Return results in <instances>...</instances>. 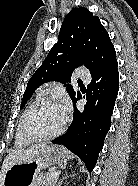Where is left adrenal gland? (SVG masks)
I'll list each match as a JSON object with an SVG mask.
<instances>
[{
	"label": "left adrenal gland",
	"mask_w": 138,
	"mask_h": 186,
	"mask_svg": "<svg viewBox=\"0 0 138 186\" xmlns=\"http://www.w3.org/2000/svg\"><path fill=\"white\" fill-rule=\"evenodd\" d=\"M69 176H72V175H68V173H67V172H66L65 174H63V177H62V179H61V180H59V182H58L57 186H61V185H62V183H63V181H64V179L68 178Z\"/></svg>",
	"instance_id": "left-adrenal-gland-1"
}]
</instances>
